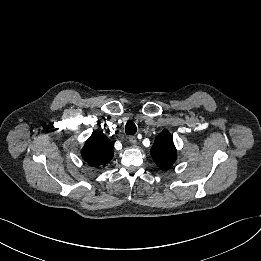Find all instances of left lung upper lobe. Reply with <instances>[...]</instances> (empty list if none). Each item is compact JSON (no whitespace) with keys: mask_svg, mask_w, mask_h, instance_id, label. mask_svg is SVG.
Listing matches in <instances>:
<instances>
[{"mask_svg":"<svg viewBox=\"0 0 261 261\" xmlns=\"http://www.w3.org/2000/svg\"><path fill=\"white\" fill-rule=\"evenodd\" d=\"M154 162L163 170L170 168L176 161V148L168 130H163L154 141L151 148Z\"/></svg>","mask_w":261,"mask_h":261,"instance_id":"1","label":"left lung upper lobe"}]
</instances>
